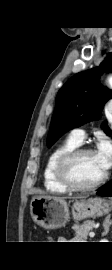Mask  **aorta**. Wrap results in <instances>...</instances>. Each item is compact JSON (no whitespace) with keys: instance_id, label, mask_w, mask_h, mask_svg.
<instances>
[{"instance_id":"1","label":"aorta","mask_w":112,"mask_h":270,"mask_svg":"<svg viewBox=\"0 0 112 270\" xmlns=\"http://www.w3.org/2000/svg\"><path fill=\"white\" fill-rule=\"evenodd\" d=\"M108 83H109L110 87H112V76H111V77H109V79H108Z\"/></svg>"}]
</instances>
